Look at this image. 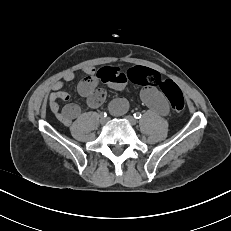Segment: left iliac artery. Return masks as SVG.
<instances>
[{
  "label": "left iliac artery",
  "instance_id": "44dca946",
  "mask_svg": "<svg viewBox=\"0 0 231 231\" xmlns=\"http://www.w3.org/2000/svg\"><path fill=\"white\" fill-rule=\"evenodd\" d=\"M142 117V114L139 112L134 113V118L140 119Z\"/></svg>",
  "mask_w": 231,
  "mask_h": 231
}]
</instances>
